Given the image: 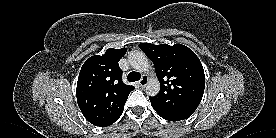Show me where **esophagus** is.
Listing matches in <instances>:
<instances>
[{
	"label": "esophagus",
	"instance_id": "34e87169",
	"mask_svg": "<svg viewBox=\"0 0 276 138\" xmlns=\"http://www.w3.org/2000/svg\"><path fill=\"white\" fill-rule=\"evenodd\" d=\"M148 83V77L144 75L138 82L139 86L144 88Z\"/></svg>",
	"mask_w": 276,
	"mask_h": 138
}]
</instances>
